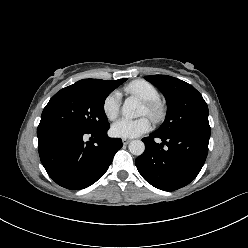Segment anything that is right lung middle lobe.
Here are the masks:
<instances>
[{
  "label": "right lung middle lobe",
  "mask_w": 248,
  "mask_h": 248,
  "mask_svg": "<svg viewBox=\"0 0 248 248\" xmlns=\"http://www.w3.org/2000/svg\"><path fill=\"white\" fill-rule=\"evenodd\" d=\"M126 80L100 86L76 82L61 89L44 108L40 124H66L88 132L109 128L104 112L105 99Z\"/></svg>",
  "instance_id": "right-lung-middle-lobe-1"
}]
</instances>
